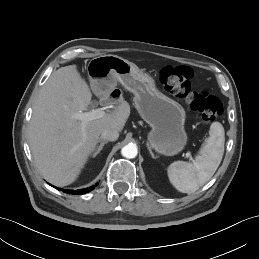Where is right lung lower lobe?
I'll use <instances>...</instances> for the list:
<instances>
[{
  "mask_svg": "<svg viewBox=\"0 0 259 259\" xmlns=\"http://www.w3.org/2000/svg\"><path fill=\"white\" fill-rule=\"evenodd\" d=\"M95 186H92L90 188H86V189H80V190H66L63 189V192L68 193V194H75V195H80V194H85L90 192L92 189H94ZM58 190H60V188L54 187Z\"/></svg>",
  "mask_w": 259,
  "mask_h": 259,
  "instance_id": "obj_1",
  "label": "right lung lower lobe"
}]
</instances>
